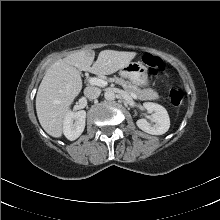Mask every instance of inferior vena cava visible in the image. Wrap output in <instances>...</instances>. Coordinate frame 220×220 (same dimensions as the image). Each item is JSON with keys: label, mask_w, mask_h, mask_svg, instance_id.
Returning <instances> with one entry per match:
<instances>
[{"label": "inferior vena cava", "mask_w": 220, "mask_h": 220, "mask_svg": "<svg viewBox=\"0 0 220 220\" xmlns=\"http://www.w3.org/2000/svg\"><path fill=\"white\" fill-rule=\"evenodd\" d=\"M100 94H101V90L97 87L89 86L84 89V95L89 100L97 99L100 96Z\"/></svg>", "instance_id": "1"}]
</instances>
